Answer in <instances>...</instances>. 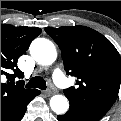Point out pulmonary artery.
Returning a JSON list of instances; mask_svg holds the SVG:
<instances>
[{"mask_svg":"<svg viewBox=\"0 0 121 121\" xmlns=\"http://www.w3.org/2000/svg\"><path fill=\"white\" fill-rule=\"evenodd\" d=\"M53 80L59 86L60 88H66L67 87V80L65 75L60 71L59 69H56L53 73Z\"/></svg>","mask_w":121,"mask_h":121,"instance_id":"e3ab8cb5","label":"pulmonary artery"}]
</instances>
